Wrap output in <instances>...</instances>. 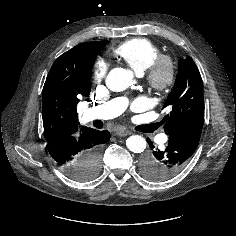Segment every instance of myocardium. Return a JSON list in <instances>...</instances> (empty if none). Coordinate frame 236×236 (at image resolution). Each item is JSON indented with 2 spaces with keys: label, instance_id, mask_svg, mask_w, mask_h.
I'll return each instance as SVG.
<instances>
[{
  "label": "myocardium",
  "instance_id": "f54148a6",
  "mask_svg": "<svg viewBox=\"0 0 236 236\" xmlns=\"http://www.w3.org/2000/svg\"><path fill=\"white\" fill-rule=\"evenodd\" d=\"M147 85L155 92L164 94L175 83L177 64L170 54H159L143 72Z\"/></svg>",
  "mask_w": 236,
  "mask_h": 236
}]
</instances>
